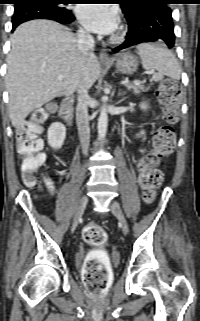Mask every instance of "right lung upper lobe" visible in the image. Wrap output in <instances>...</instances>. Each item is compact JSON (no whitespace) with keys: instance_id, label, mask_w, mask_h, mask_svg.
<instances>
[{"instance_id":"obj_1","label":"right lung upper lobe","mask_w":200,"mask_h":321,"mask_svg":"<svg viewBox=\"0 0 200 321\" xmlns=\"http://www.w3.org/2000/svg\"><path fill=\"white\" fill-rule=\"evenodd\" d=\"M33 1H35V0H16L15 6L27 5V4H30Z\"/></svg>"}]
</instances>
